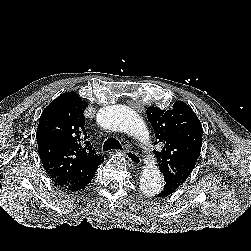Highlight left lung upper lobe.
I'll use <instances>...</instances> for the list:
<instances>
[{"mask_svg":"<svg viewBox=\"0 0 251 251\" xmlns=\"http://www.w3.org/2000/svg\"><path fill=\"white\" fill-rule=\"evenodd\" d=\"M147 117L156 135L154 151L164 180L181 186L191 174L200 155L202 125L193 110L184 102L176 101L172 109L148 107Z\"/></svg>","mask_w":251,"mask_h":251,"instance_id":"1","label":"left lung upper lobe"}]
</instances>
